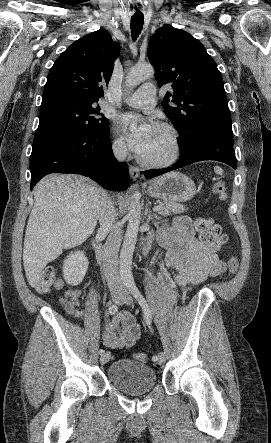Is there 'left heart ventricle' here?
I'll return each instance as SVG.
<instances>
[{"instance_id":"b2bd125f","label":"left heart ventricle","mask_w":271,"mask_h":443,"mask_svg":"<svg viewBox=\"0 0 271 443\" xmlns=\"http://www.w3.org/2000/svg\"><path fill=\"white\" fill-rule=\"evenodd\" d=\"M171 149L172 145L168 134L154 126L149 148L143 156L150 159L163 158L169 155Z\"/></svg>"}]
</instances>
